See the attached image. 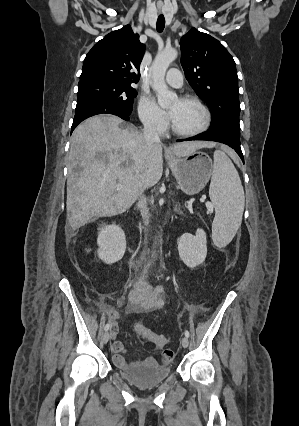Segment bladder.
<instances>
[{
	"mask_svg": "<svg viewBox=\"0 0 299 426\" xmlns=\"http://www.w3.org/2000/svg\"><path fill=\"white\" fill-rule=\"evenodd\" d=\"M119 375L131 385L140 389H150L163 383L171 374L168 366L119 369Z\"/></svg>",
	"mask_w": 299,
	"mask_h": 426,
	"instance_id": "1",
	"label": "bladder"
}]
</instances>
